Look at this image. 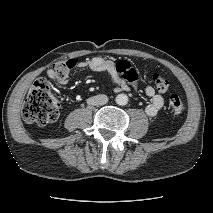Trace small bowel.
Segmentation results:
<instances>
[{"instance_id":"1","label":"small bowel","mask_w":213,"mask_h":213,"mask_svg":"<svg viewBox=\"0 0 213 213\" xmlns=\"http://www.w3.org/2000/svg\"><path fill=\"white\" fill-rule=\"evenodd\" d=\"M74 66L81 69H88L93 72H109L113 77L115 90L117 92L129 91L132 88L136 89L138 85L139 73L136 69L131 67L128 75H120L116 72L114 61L106 57L95 56L86 60H75ZM47 76L60 84H66L69 81L68 74L65 76H59L54 69H49L47 71ZM144 93L150 98V102L145 107V113L150 117H154L162 109L164 98L152 85H147L144 88Z\"/></svg>"}]
</instances>
